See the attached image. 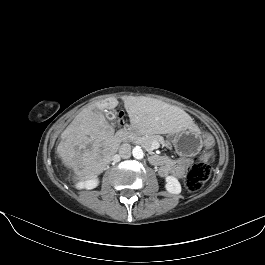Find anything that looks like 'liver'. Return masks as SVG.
<instances>
[{"label":"liver","instance_id":"liver-1","mask_svg":"<svg viewBox=\"0 0 265 265\" xmlns=\"http://www.w3.org/2000/svg\"><path fill=\"white\" fill-rule=\"evenodd\" d=\"M132 126L150 133H178L193 130L199 133L191 116L177 106L148 97H123ZM119 104L114 97L85 107L61 134L56 153L65 167L73 169L77 181H86L101 174L117 153L120 139L106 120L104 111Z\"/></svg>","mask_w":265,"mask_h":265}]
</instances>
